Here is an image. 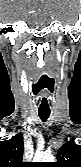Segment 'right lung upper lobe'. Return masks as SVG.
<instances>
[{
    "instance_id": "right-lung-upper-lobe-1",
    "label": "right lung upper lobe",
    "mask_w": 81,
    "mask_h": 167,
    "mask_svg": "<svg viewBox=\"0 0 81 167\" xmlns=\"http://www.w3.org/2000/svg\"><path fill=\"white\" fill-rule=\"evenodd\" d=\"M24 151L22 133L16 134L10 140L0 142V167H27L22 162Z\"/></svg>"
}]
</instances>
